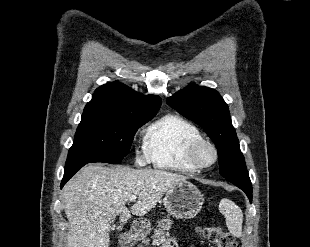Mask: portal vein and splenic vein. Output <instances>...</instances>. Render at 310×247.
Returning <instances> with one entry per match:
<instances>
[{
    "mask_svg": "<svg viewBox=\"0 0 310 247\" xmlns=\"http://www.w3.org/2000/svg\"><path fill=\"white\" fill-rule=\"evenodd\" d=\"M136 200V195H132L129 197V201L133 202Z\"/></svg>",
    "mask_w": 310,
    "mask_h": 247,
    "instance_id": "1",
    "label": "portal vein and splenic vein"
}]
</instances>
